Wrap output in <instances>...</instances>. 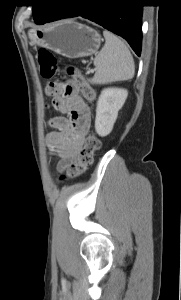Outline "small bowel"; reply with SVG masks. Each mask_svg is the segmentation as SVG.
I'll return each mask as SVG.
<instances>
[{"label":"small bowel","mask_w":181,"mask_h":300,"mask_svg":"<svg viewBox=\"0 0 181 300\" xmlns=\"http://www.w3.org/2000/svg\"><path fill=\"white\" fill-rule=\"evenodd\" d=\"M69 88L70 92L53 99L54 108L65 115L51 118L49 124L54 130L47 136L48 146L59 158L60 170L76 160L91 120L89 108L72 83Z\"/></svg>","instance_id":"small-bowel-1"}]
</instances>
